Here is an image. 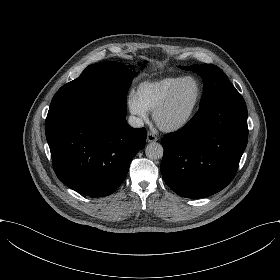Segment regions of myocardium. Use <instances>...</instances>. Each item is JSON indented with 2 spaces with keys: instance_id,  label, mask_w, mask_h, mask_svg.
<instances>
[{
  "instance_id": "1",
  "label": "myocardium",
  "mask_w": 280,
  "mask_h": 280,
  "mask_svg": "<svg viewBox=\"0 0 280 280\" xmlns=\"http://www.w3.org/2000/svg\"><path fill=\"white\" fill-rule=\"evenodd\" d=\"M189 79L196 80L200 86V93H199L198 101H197L195 107L185 117L178 119V120L171 121V122H165L163 119L164 114L171 107L175 95L181 89L184 82ZM204 95H205V87H204L203 82L198 77L193 76V75L184 76L181 79V81L169 92V94L167 95L164 102L155 110L154 118H155L157 125L166 132H177V131L183 129L184 127L189 125L192 122V120L195 118V116L197 115V113L202 105Z\"/></svg>"
}]
</instances>
